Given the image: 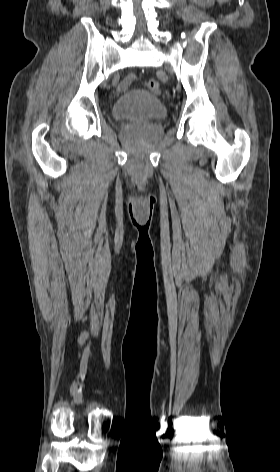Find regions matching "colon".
Instances as JSON below:
<instances>
[{"instance_id": "1", "label": "colon", "mask_w": 280, "mask_h": 472, "mask_svg": "<svg viewBox=\"0 0 280 472\" xmlns=\"http://www.w3.org/2000/svg\"><path fill=\"white\" fill-rule=\"evenodd\" d=\"M148 87L153 92H159V83L154 79H152L148 82Z\"/></svg>"}]
</instances>
